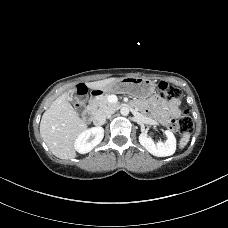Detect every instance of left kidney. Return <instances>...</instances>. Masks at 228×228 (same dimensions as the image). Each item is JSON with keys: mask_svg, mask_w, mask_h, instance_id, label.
<instances>
[{"mask_svg": "<svg viewBox=\"0 0 228 228\" xmlns=\"http://www.w3.org/2000/svg\"><path fill=\"white\" fill-rule=\"evenodd\" d=\"M167 140L165 142H154L147 134L139 135L140 144L152 155L166 157L174 154L176 150V138L170 130L165 131Z\"/></svg>", "mask_w": 228, "mask_h": 228, "instance_id": "left-kidney-1", "label": "left kidney"}]
</instances>
